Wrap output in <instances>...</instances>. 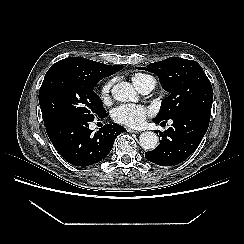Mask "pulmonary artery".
<instances>
[{
    "mask_svg": "<svg viewBox=\"0 0 244 244\" xmlns=\"http://www.w3.org/2000/svg\"><path fill=\"white\" fill-rule=\"evenodd\" d=\"M155 87V80L151 76L142 84V86L138 89L141 94H148Z\"/></svg>",
    "mask_w": 244,
    "mask_h": 244,
    "instance_id": "obj_1",
    "label": "pulmonary artery"
}]
</instances>
